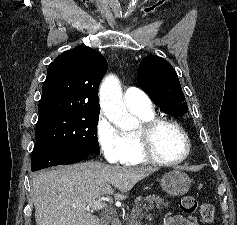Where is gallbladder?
<instances>
[{
	"mask_svg": "<svg viewBox=\"0 0 237 225\" xmlns=\"http://www.w3.org/2000/svg\"><path fill=\"white\" fill-rule=\"evenodd\" d=\"M102 222L104 225H107L109 221L107 219H102Z\"/></svg>",
	"mask_w": 237,
	"mask_h": 225,
	"instance_id": "gallbladder-1",
	"label": "gallbladder"
}]
</instances>
